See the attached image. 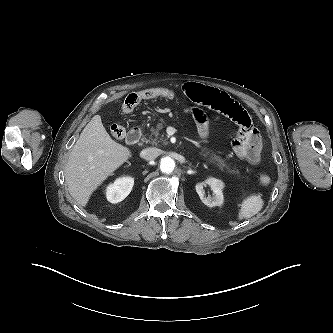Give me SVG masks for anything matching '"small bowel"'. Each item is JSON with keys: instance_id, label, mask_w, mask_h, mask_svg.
I'll return each mask as SVG.
<instances>
[{"instance_id": "c3829d8e", "label": "small bowel", "mask_w": 333, "mask_h": 333, "mask_svg": "<svg viewBox=\"0 0 333 333\" xmlns=\"http://www.w3.org/2000/svg\"><path fill=\"white\" fill-rule=\"evenodd\" d=\"M181 89L196 105L220 112L239 126V133L231 142V147L237 157L250 164H257L260 161L262 151L260 134L247 111L238 102L225 92L197 83L184 84ZM192 112L198 135L204 139L209 133L207 116L199 107L193 108Z\"/></svg>"}]
</instances>
